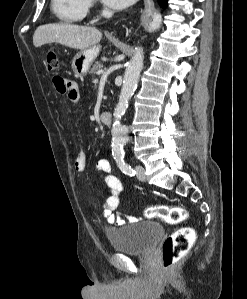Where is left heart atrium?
I'll use <instances>...</instances> for the list:
<instances>
[{"label":"left heart atrium","mask_w":247,"mask_h":299,"mask_svg":"<svg viewBox=\"0 0 247 299\" xmlns=\"http://www.w3.org/2000/svg\"><path fill=\"white\" fill-rule=\"evenodd\" d=\"M101 1L110 8L121 9L131 4L134 0H101Z\"/></svg>","instance_id":"obj_1"}]
</instances>
